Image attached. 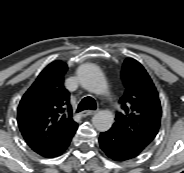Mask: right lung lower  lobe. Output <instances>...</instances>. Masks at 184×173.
I'll use <instances>...</instances> for the list:
<instances>
[{"label":"right lung lower lobe","mask_w":184,"mask_h":173,"mask_svg":"<svg viewBox=\"0 0 184 173\" xmlns=\"http://www.w3.org/2000/svg\"><path fill=\"white\" fill-rule=\"evenodd\" d=\"M76 130L77 128L70 132L66 137H64L57 145H55L50 150L38 154L45 158H54L60 156L68 148Z\"/></svg>","instance_id":"right-lung-lower-lobe-1"}]
</instances>
